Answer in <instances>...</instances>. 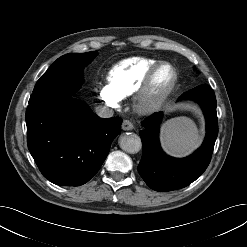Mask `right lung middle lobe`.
I'll return each mask as SVG.
<instances>
[{
	"label": "right lung middle lobe",
	"mask_w": 247,
	"mask_h": 247,
	"mask_svg": "<svg viewBox=\"0 0 247 247\" xmlns=\"http://www.w3.org/2000/svg\"><path fill=\"white\" fill-rule=\"evenodd\" d=\"M97 54L96 51L70 53L58 58L37 81L30 99L75 93L82 83V69Z\"/></svg>",
	"instance_id": "dd1d6c3e"
}]
</instances>
